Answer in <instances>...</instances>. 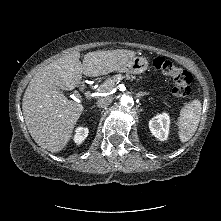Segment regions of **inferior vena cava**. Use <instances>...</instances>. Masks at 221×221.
<instances>
[{"instance_id": "602c4592", "label": "inferior vena cava", "mask_w": 221, "mask_h": 221, "mask_svg": "<svg viewBox=\"0 0 221 221\" xmlns=\"http://www.w3.org/2000/svg\"><path fill=\"white\" fill-rule=\"evenodd\" d=\"M111 102L112 99L110 97H102L97 100L96 105L99 108H106Z\"/></svg>"}]
</instances>
